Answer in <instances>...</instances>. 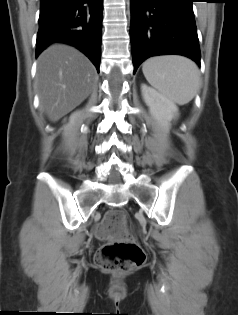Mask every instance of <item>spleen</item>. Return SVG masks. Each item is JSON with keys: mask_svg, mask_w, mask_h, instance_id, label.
Segmentation results:
<instances>
[{"mask_svg": "<svg viewBox=\"0 0 238 315\" xmlns=\"http://www.w3.org/2000/svg\"><path fill=\"white\" fill-rule=\"evenodd\" d=\"M146 80L161 95L179 105L189 103L200 87V73L190 59L179 55L147 59L142 66Z\"/></svg>", "mask_w": 238, "mask_h": 315, "instance_id": "1", "label": "spleen"}]
</instances>
